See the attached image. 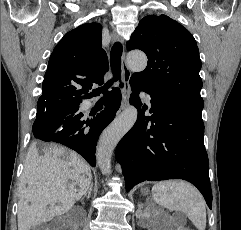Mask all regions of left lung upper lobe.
<instances>
[{"label": "left lung upper lobe", "instance_id": "1", "mask_svg": "<svg viewBox=\"0 0 241 230\" xmlns=\"http://www.w3.org/2000/svg\"><path fill=\"white\" fill-rule=\"evenodd\" d=\"M127 49H140L148 57L146 69L134 73L132 81L148 91L203 108L199 50L181 24L165 15H148L140 20Z\"/></svg>", "mask_w": 241, "mask_h": 230}]
</instances>
